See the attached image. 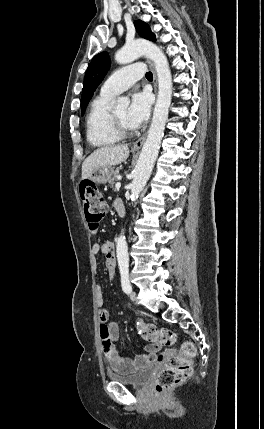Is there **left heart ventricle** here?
Segmentation results:
<instances>
[{
    "label": "left heart ventricle",
    "instance_id": "b2bd125f",
    "mask_svg": "<svg viewBox=\"0 0 264 429\" xmlns=\"http://www.w3.org/2000/svg\"><path fill=\"white\" fill-rule=\"evenodd\" d=\"M127 108L122 107L114 111L116 117L128 128L132 129L131 125L127 121Z\"/></svg>",
    "mask_w": 264,
    "mask_h": 429
}]
</instances>
